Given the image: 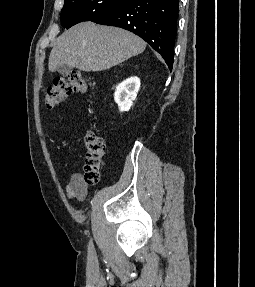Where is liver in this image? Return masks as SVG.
<instances>
[{
    "mask_svg": "<svg viewBox=\"0 0 255 287\" xmlns=\"http://www.w3.org/2000/svg\"><path fill=\"white\" fill-rule=\"evenodd\" d=\"M145 48L146 42L132 32L81 22L57 38L48 68L49 72H54L58 66L66 64L82 72H100L142 54Z\"/></svg>",
    "mask_w": 255,
    "mask_h": 287,
    "instance_id": "6515ba94",
    "label": "liver"
}]
</instances>
